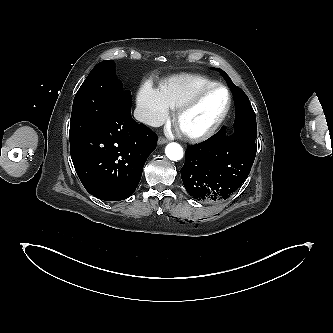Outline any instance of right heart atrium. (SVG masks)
<instances>
[{
  "label": "right heart atrium",
  "instance_id": "1",
  "mask_svg": "<svg viewBox=\"0 0 333 333\" xmlns=\"http://www.w3.org/2000/svg\"><path fill=\"white\" fill-rule=\"evenodd\" d=\"M137 106L140 120L149 126H158L169 116V108L160 92L149 83L140 89Z\"/></svg>",
  "mask_w": 333,
  "mask_h": 333
}]
</instances>
